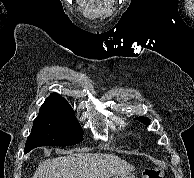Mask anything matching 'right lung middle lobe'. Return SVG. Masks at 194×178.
<instances>
[{"label":"right lung middle lobe","mask_w":194,"mask_h":178,"mask_svg":"<svg viewBox=\"0 0 194 178\" xmlns=\"http://www.w3.org/2000/svg\"><path fill=\"white\" fill-rule=\"evenodd\" d=\"M83 131L75 114L41 106L27 138L24 152L39 146H68L80 143Z\"/></svg>","instance_id":"1"}]
</instances>
